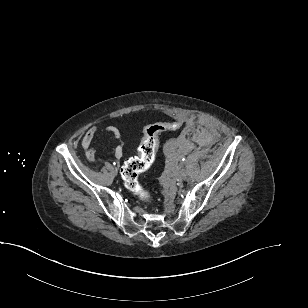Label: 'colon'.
<instances>
[{"instance_id": "1", "label": "colon", "mask_w": 308, "mask_h": 308, "mask_svg": "<svg viewBox=\"0 0 308 308\" xmlns=\"http://www.w3.org/2000/svg\"><path fill=\"white\" fill-rule=\"evenodd\" d=\"M180 126L181 122L177 120L147 126L138 148V155L128 159L121 169L126 188L144 203L151 201V193L141 185L139 175L153 164L159 146V135Z\"/></svg>"}]
</instances>
